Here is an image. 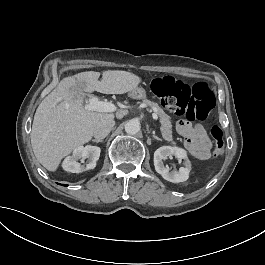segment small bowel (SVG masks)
Returning <instances> with one entry per match:
<instances>
[{
	"label": "small bowel",
	"mask_w": 265,
	"mask_h": 265,
	"mask_svg": "<svg viewBox=\"0 0 265 265\" xmlns=\"http://www.w3.org/2000/svg\"><path fill=\"white\" fill-rule=\"evenodd\" d=\"M178 133L183 137L185 146L198 160H207L211 155V141L205 130L200 125H192L185 120L176 123Z\"/></svg>",
	"instance_id": "obj_1"
}]
</instances>
